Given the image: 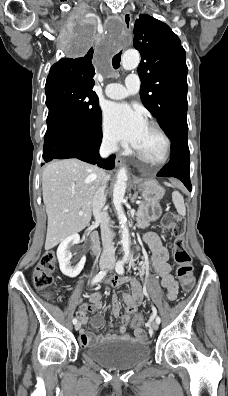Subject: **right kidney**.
Here are the masks:
<instances>
[{
	"label": "right kidney",
	"instance_id": "ca27d5eb",
	"mask_svg": "<svg viewBox=\"0 0 228 396\" xmlns=\"http://www.w3.org/2000/svg\"><path fill=\"white\" fill-rule=\"evenodd\" d=\"M80 241V236L78 234H73L67 237L61 242L57 249V258L59 261V266L61 272L71 278H74L80 274L84 268L86 257L83 256L80 262L75 266H71L72 253L69 251V247L74 244H78Z\"/></svg>",
	"mask_w": 228,
	"mask_h": 396
}]
</instances>
